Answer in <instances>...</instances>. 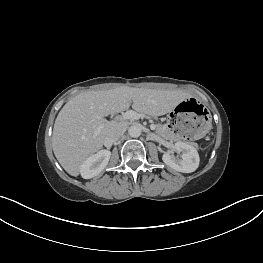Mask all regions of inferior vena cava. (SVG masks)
Wrapping results in <instances>:
<instances>
[{"label": "inferior vena cava", "instance_id": "602c4592", "mask_svg": "<svg viewBox=\"0 0 263 263\" xmlns=\"http://www.w3.org/2000/svg\"><path fill=\"white\" fill-rule=\"evenodd\" d=\"M123 128L113 129L107 136L106 141L108 143H116L122 135Z\"/></svg>", "mask_w": 263, "mask_h": 263}]
</instances>
